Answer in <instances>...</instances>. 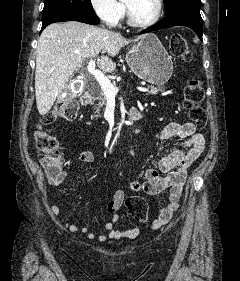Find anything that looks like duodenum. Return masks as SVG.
Segmentation results:
<instances>
[{
	"instance_id": "410a0bca",
	"label": "duodenum",
	"mask_w": 240,
	"mask_h": 281,
	"mask_svg": "<svg viewBox=\"0 0 240 281\" xmlns=\"http://www.w3.org/2000/svg\"><path fill=\"white\" fill-rule=\"evenodd\" d=\"M92 101V96L88 93L84 94L81 96L80 98V104L82 106H88ZM142 118V113L136 109V108H132L127 115V121L128 122H132V121H136Z\"/></svg>"
}]
</instances>
